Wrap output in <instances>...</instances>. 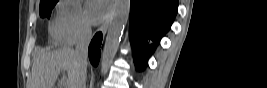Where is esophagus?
<instances>
[{
  "instance_id": "esophagus-1",
  "label": "esophagus",
  "mask_w": 267,
  "mask_h": 88,
  "mask_svg": "<svg viewBox=\"0 0 267 88\" xmlns=\"http://www.w3.org/2000/svg\"><path fill=\"white\" fill-rule=\"evenodd\" d=\"M112 15H108L105 19V21L102 23V25L100 26V31L103 33V35L106 34L107 30H108V27L110 25V22L112 20Z\"/></svg>"
}]
</instances>
